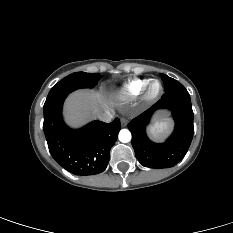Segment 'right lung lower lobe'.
Returning <instances> with one entry per match:
<instances>
[{
  "label": "right lung lower lobe",
  "instance_id": "98d812e1",
  "mask_svg": "<svg viewBox=\"0 0 233 233\" xmlns=\"http://www.w3.org/2000/svg\"><path fill=\"white\" fill-rule=\"evenodd\" d=\"M66 96L44 104V133L52 157L69 172L95 175L103 172L110 149L117 140L119 118L111 123L93 121L79 130L70 129L62 120Z\"/></svg>",
  "mask_w": 233,
  "mask_h": 233
}]
</instances>
